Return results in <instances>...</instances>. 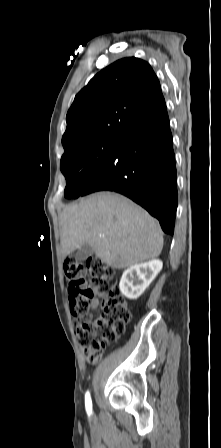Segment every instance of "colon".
Masks as SVG:
<instances>
[{
    "label": "colon",
    "instance_id": "1",
    "mask_svg": "<svg viewBox=\"0 0 221 448\" xmlns=\"http://www.w3.org/2000/svg\"><path fill=\"white\" fill-rule=\"evenodd\" d=\"M72 314L79 317L75 336L91 363L98 362L105 349L123 333L131 318L127 303L114 283V270L97 257L78 260L69 257L64 263ZM97 296H106L102 313L90 314Z\"/></svg>",
    "mask_w": 221,
    "mask_h": 448
}]
</instances>
